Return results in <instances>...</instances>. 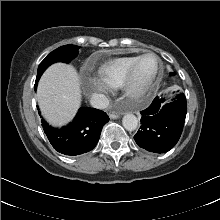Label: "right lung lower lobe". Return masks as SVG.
Here are the masks:
<instances>
[{
  "label": "right lung lower lobe",
  "instance_id": "right-lung-lower-lobe-1",
  "mask_svg": "<svg viewBox=\"0 0 220 220\" xmlns=\"http://www.w3.org/2000/svg\"><path fill=\"white\" fill-rule=\"evenodd\" d=\"M40 77L36 78L34 88ZM109 121L106 113L95 108L82 107L66 127L55 129L42 119V126L56 151L75 156L91 151L97 144L102 127Z\"/></svg>",
  "mask_w": 220,
  "mask_h": 220
}]
</instances>
